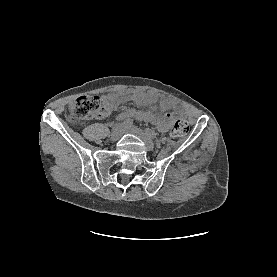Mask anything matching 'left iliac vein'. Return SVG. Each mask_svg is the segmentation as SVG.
<instances>
[{
  "mask_svg": "<svg viewBox=\"0 0 277 277\" xmlns=\"http://www.w3.org/2000/svg\"><path fill=\"white\" fill-rule=\"evenodd\" d=\"M123 132L133 134V135L139 137L144 142L147 151L154 150V148H155L154 142L143 130L132 125V126H125Z\"/></svg>",
  "mask_w": 277,
  "mask_h": 277,
  "instance_id": "1",
  "label": "left iliac vein"
}]
</instances>
